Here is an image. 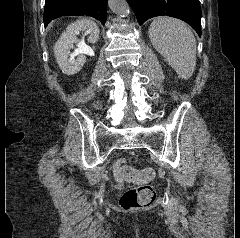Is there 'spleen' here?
I'll use <instances>...</instances> for the list:
<instances>
[{
  "label": "spleen",
  "mask_w": 240,
  "mask_h": 238,
  "mask_svg": "<svg viewBox=\"0 0 240 238\" xmlns=\"http://www.w3.org/2000/svg\"><path fill=\"white\" fill-rule=\"evenodd\" d=\"M154 48L167 60L182 79L192 76L196 66V39L182 21L157 17L149 27Z\"/></svg>",
  "instance_id": "spleen-1"
}]
</instances>
